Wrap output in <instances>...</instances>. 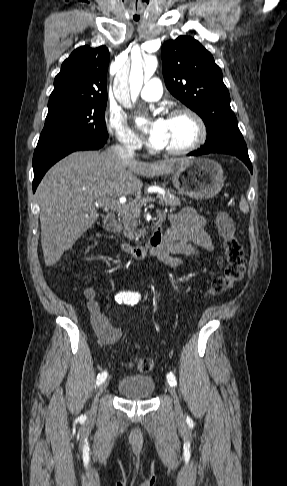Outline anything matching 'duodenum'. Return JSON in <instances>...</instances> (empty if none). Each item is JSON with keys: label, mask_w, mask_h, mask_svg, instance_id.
Returning <instances> with one entry per match:
<instances>
[{"label": "duodenum", "mask_w": 287, "mask_h": 486, "mask_svg": "<svg viewBox=\"0 0 287 486\" xmlns=\"http://www.w3.org/2000/svg\"><path fill=\"white\" fill-rule=\"evenodd\" d=\"M163 219L164 218L162 217L158 218L156 227L146 244H131L120 238V247L122 251L130 254L136 259H144L148 255H154L157 253V251L161 248L164 239ZM103 227L108 233L119 236L114 214L108 213L104 217Z\"/></svg>", "instance_id": "obj_1"}]
</instances>
